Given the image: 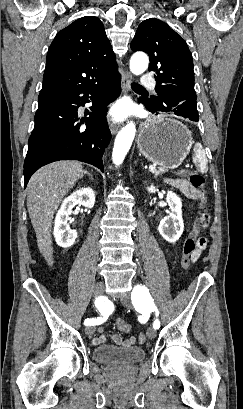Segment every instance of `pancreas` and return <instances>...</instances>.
I'll use <instances>...</instances> for the list:
<instances>
[{
	"label": "pancreas",
	"mask_w": 243,
	"mask_h": 409,
	"mask_svg": "<svg viewBox=\"0 0 243 409\" xmlns=\"http://www.w3.org/2000/svg\"><path fill=\"white\" fill-rule=\"evenodd\" d=\"M167 170L163 167H160L158 170H151L152 174H154V176H158L161 175L163 173H165Z\"/></svg>",
	"instance_id": "1"
}]
</instances>
